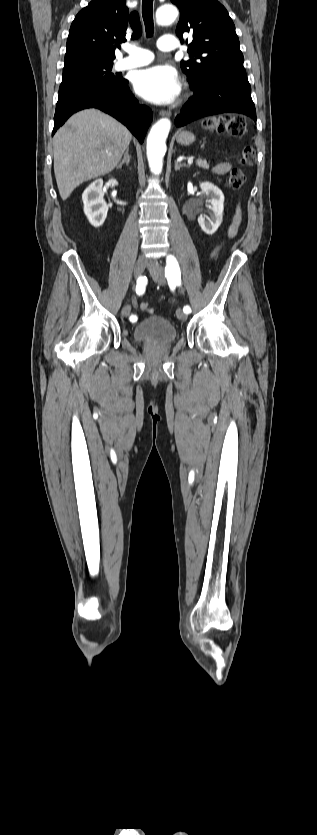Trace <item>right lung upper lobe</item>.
Wrapping results in <instances>:
<instances>
[{"mask_svg": "<svg viewBox=\"0 0 317 835\" xmlns=\"http://www.w3.org/2000/svg\"><path fill=\"white\" fill-rule=\"evenodd\" d=\"M126 0H93L71 24L65 61L76 58L115 59L116 43L125 40L128 21L132 38L142 33L137 12L129 14Z\"/></svg>", "mask_w": 317, "mask_h": 835, "instance_id": "obj_1", "label": "right lung upper lobe"}]
</instances>
